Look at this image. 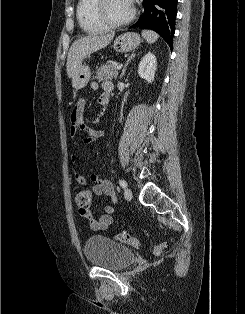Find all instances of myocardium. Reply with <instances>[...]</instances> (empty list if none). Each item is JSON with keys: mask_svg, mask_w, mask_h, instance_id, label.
<instances>
[{"mask_svg": "<svg viewBox=\"0 0 245 314\" xmlns=\"http://www.w3.org/2000/svg\"><path fill=\"white\" fill-rule=\"evenodd\" d=\"M106 0H96L95 7H94V12H95V17L96 19L103 24L106 28L108 29H115V28H121L129 23H131L135 16H136V8L132 6V12L128 18H126L123 21L120 22H113L110 21L104 11V5H105Z\"/></svg>", "mask_w": 245, "mask_h": 314, "instance_id": "1", "label": "myocardium"}]
</instances>
